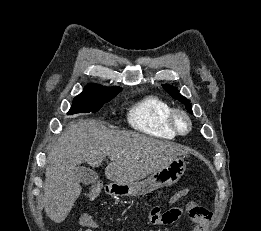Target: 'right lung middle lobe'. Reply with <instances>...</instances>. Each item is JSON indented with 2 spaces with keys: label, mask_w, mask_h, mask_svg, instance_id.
I'll use <instances>...</instances> for the list:
<instances>
[{
  "label": "right lung middle lobe",
  "mask_w": 261,
  "mask_h": 231,
  "mask_svg": "<svg viewBox=\"0 0 261 231\" xmlns=\"http://www.w3.org/2000/svg\"><path fill=\"white\" fill-rule=\"evenodd\" d=\"M119 92L101 95H78L74 98L68 115L97 112L103 104L112 100Z\"/></svg>",
  "instance_id": "dd1d6c3e"
}]
</instances>
